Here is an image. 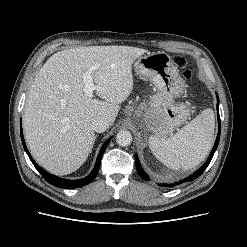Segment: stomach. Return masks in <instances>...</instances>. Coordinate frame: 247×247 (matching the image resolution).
Here are the masks:
<instances>
[{"label":"stomach","mask_w":247,"mask_h":247,"mask_svg":"<svg viewBox=\"0 0 247 247\" xmlns=\"http://www.w3.org/2000/svg\"><path fill=\"white\" fill-rule=\"evenodd\" d=\"M134 68L137 75L154 86L151 99L136 110L138 127L144 133L164 137L182 125L189 116V110L178 101L186 90L185 83L172 58L164 51L140 57Z\"/></svg>","instance_id":"stomach-1"}]
</instances>
